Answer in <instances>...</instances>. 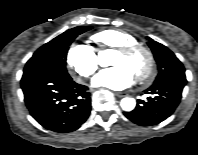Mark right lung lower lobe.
I'll return each instance as SVG.
<instances>
[{
	"mask_svg": "<svg viewBox=\"0 0 198 155\" xmlns=\"http://www.w3.org/2000/svg\"><path fill=\"white\" fill-rule=\"evenodd\" d=\"M24 100L32 117L44 128L67 133L78 129L89 117L90 94L84 85L44 71L24 72Z\"/></svg>",
	"mask_w": 198,
	"mask_h": 155,
	"instance_id": "98d812e1",
	"label": "right lung lower lobe"
}]
</instances>
